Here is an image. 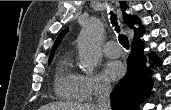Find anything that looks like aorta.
I'll return each instance as SVG.
<instances>
[{
  "instance_id": "obj_1",
  "label": "aorta",
  "mask_w": 171,
  "mask_h": 110,
  "mask_svg": "<svg viewBox=\"0 0 171 110\" xmlns=\"http://www.w3.org/2000/svg\"><path fill=\"white\" fill-rule=\"evenodd\" d=\"M103 34V25L97 19H92L84 28L78 41L80 68L90 73L100 60V42Z\"/></svg>"
}]
</instances>
